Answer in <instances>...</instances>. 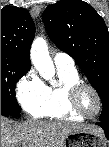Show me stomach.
<instances>
[{"instance_id": "stomach-1", "label": "stomach", "mask_w": 109, "mask_h": 147, "mask_svg": "<svg viewBox=\"0 0 109 147\" xmlns=\"http://www.w3.org/2000/svg\"><path fill=\"white\" fill-rule=\"evenodd\" d=\"M65 147H108L104 134L73 132L65 140Z\"/></svg>"}]
</instances>
